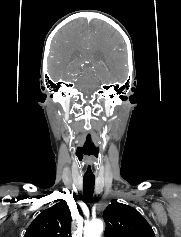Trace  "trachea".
<instances>
[{"mask_svg":"<svg viewBox=\"0 0 181 237\" xmlns=\"http://www.w3.org/2000/svg\"><path fill=\"white\" fill-rule=\"evenodd\" d=\"M95 178H84L83 196L85 200H90L94 193Z\"/></svg>","mask_w":181,"mask_h":237,"instance_id":"1","label":"trachea"}]
</instances>
